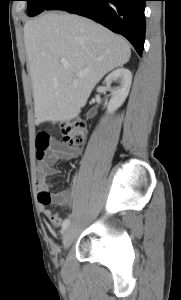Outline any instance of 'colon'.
<instances>
[{
	"label": "colon",
	"mask_w": 181,
	"mask_h": 300,
	"mask_svg": "<svg viewBox=\"0 0 181 300\" xmlns=\"http://www.w3.org/2000/svg\"><path fill=\"white\" fill-rule=\"evenodd\" d=\"M62 147L61 152H76L79 150L86 139V126L81 121L63 123L61 125ZM52 139L47 134H39L36 138V148L41 158L44 151L51 145Z\"/></svg>",
	"instance_id": "obj_1"
}]
</instances>
